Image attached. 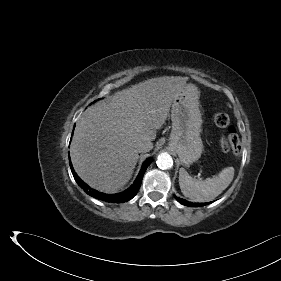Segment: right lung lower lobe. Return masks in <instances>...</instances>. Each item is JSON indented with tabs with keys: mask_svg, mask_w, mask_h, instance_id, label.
<instances>
[{
	"mask_svg": "<svg viewBox=\"0 0 281 281\" xmlns=\"http://www.w3.org/2000/svg\"><path fill=\"white\" fill-rule=\"evenodd\" d=\"M151 159H148L144 162L138 177L136 178L135 182L133 183V185L131 187H129L128 189H126L125 191L121 192V193H117V194H105L102 192H99L95 189L90 188L83 180H81L77 174L75 173L72 164L70 162V167H71V171L73 173L74 179L76 180V182L78 183V185L90 196L99 199V200H103L106 202H111V203H123L126 201H129L130 199H132L138 192L140 186H141V182H142V178L143 175L148 167V165L151 163Z\"/></svg>",
	"mask_w": 281,
	"mask_h": 281,
	"instance_id": "obj_1",
	"label": "right lung lower lobe"
}]
</instances>
